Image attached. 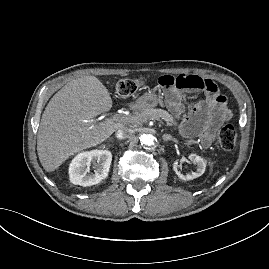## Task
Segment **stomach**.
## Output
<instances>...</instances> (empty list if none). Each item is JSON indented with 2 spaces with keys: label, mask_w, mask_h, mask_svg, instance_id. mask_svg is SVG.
<instances>
[{
  "label": "stomach",
  "mask_w": 269,
  "mask_h": 269,
  "mask_svg": "<svg viewBox=\"0 0 269 269\" xmlns=\"http://www.w3.org/2000/svg\"><path fill=\"white\" fill-rule=\"evenodd\" d=\"M159 103V98L154 92L147 93L143 95L138 100V107L141 110L150 109L157 106Z\"/></svg>",
  "instance_id": "0dacf381"
}]
</instances>
